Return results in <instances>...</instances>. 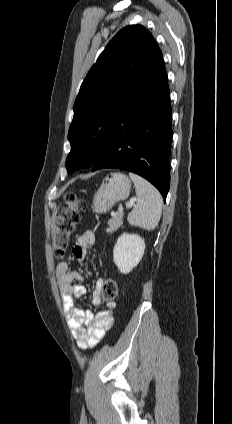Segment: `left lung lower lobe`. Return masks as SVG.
<instances>
[{
    "instance_id": "0a47b994",
    "label": "left lung lower lobe",
    "mask_w": 232,
    "mask_h": 424,
    "mask_svg": "<svg viewBox=\"0 0 232 424\" xmlns=\"http://www.w3.org/2000/svg\"><path fill=\"white\" fill-rule=\"evenodd\" d=\"M171 120L168 78L162 59L116 120L92 171L119 168L134 172L151 182L166 201Z\"/></svg>"
}]
</instances>
